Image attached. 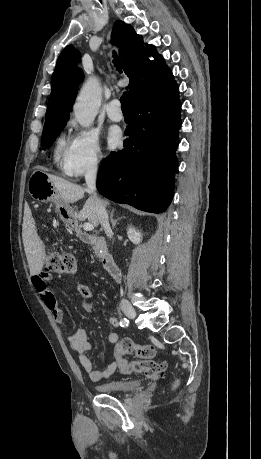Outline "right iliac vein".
Listing matches in <instances>:
<instances>
[{
    "label": "right iliac vein",
    "instance_id": "1",
    "mask_svg": "<svg viewBox=\"0 0 261 459\" xmlns=\"http://www.w3.org/2000/svg\"><path fill=\"white\" fill-rule=\"evenodd\" d=\"M121 309L128 318L134 319L136 317V311L129 303H122Z\"/></svg>",
    "mask_w": 261,
    "mask_h": 459
}]
</instances>
